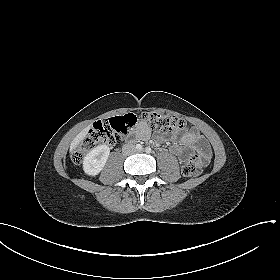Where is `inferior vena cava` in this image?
Segmentation results:
<instances>
[{
    "instance_id": "inferior-vena-cava-1",
    "label": "inferior vena cava",
    "mask_w": 280,
    "mask_h": 280,
    "mask_svg": "<svg viewBox=\"0 0 280 280\" xmlns=\"http://www.w3.org/2000/svg\"><path fill=\"white\" fill-rule=\"evenodd\" d=\"M128 148H131L132 150H134V147L132 145H125L123 147V153L128 154Z\"/></svg>"
}]
</instances>
